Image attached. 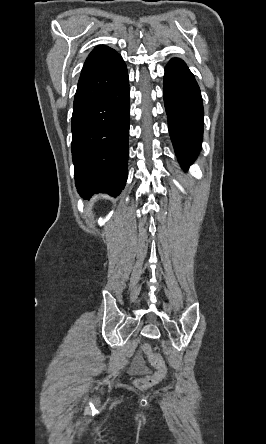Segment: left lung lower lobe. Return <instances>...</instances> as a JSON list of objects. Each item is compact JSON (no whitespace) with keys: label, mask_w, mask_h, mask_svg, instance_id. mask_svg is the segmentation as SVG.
<instances>
[{"label":"left lung lower lobe","mask_w":266,"mask_h":444,"mask_svg":"<svg viewBox=\"0 0 266 444\" xmlns=\"http://www.w3.org/2000/svg\"><path fill=\"white\" fill-rule=\"evenodd\" d=\"M163 91L170 137L186 170L201 149L204 111L199 86L181 59L165 67Z\"/></svg>","instance_id":"obj_1"}]
</instances>
